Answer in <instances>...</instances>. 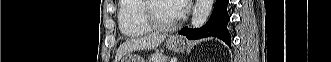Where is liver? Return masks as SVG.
Returning a JSON list of instances; mask_svg holds the SVG:
<instances>
[{
	"mask_svg": "<svg viewBox=\"0 0 331 62\" xmlns=\"http://www.w3.org/2000/svg\"><path fill=\"white\" fill-rule=\"evenodd\" d=\"M165 35H157V36H145L140 38H134L127 40L118 48L116 52L115 62H119V60L125 55L135 50H143V49H154L158 47L164 40Z\"/></svg>",
	"mask_w": 331,
	"mask_h": 62,
	"instance_id": "obj_1",
	"label": "liver"
}]
</instances>
